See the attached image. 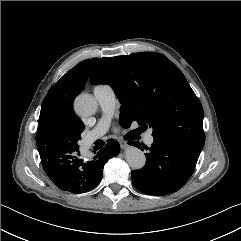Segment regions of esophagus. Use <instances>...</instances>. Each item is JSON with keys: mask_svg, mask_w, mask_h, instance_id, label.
Wrapping results in <instances>:
<instances>
[{"mask_svg": "<svg viewBox=\"0 0 241 241\" xmlns=\"http://www.w3.org/2000/svg\"><path fill=\"white\" fill-rule=\"evenodd\" d=\"M118 142H119L120 147H121L122 149L127 148L128 144H127L126 141H124V140H122V139H119Z\"/></svg>", "mask_w": 241, "mask_h": 241, "instance_id": "1", "label": "esophagus"}]
</instances>
